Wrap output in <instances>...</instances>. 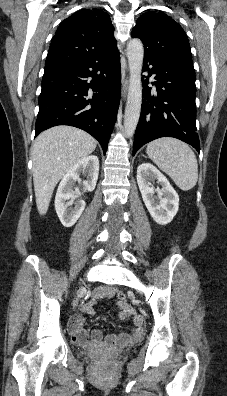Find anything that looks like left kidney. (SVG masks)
Listing matches in <instances>:
<instances>
[{
    "label": "left kidney",
    "mask_w": 227,
    "mask_h": 396,
    "mask_svg": "<svg viewBox=\"0 0 227 396\" xmlns=\"http://www.w3.org/2000/svg\"><path fill=\"white\" fill-rule=\"evenodd\" d=\"M153 180H157L162 188L151 186L150 181ZM137 183L154 221L160 225L170 223L178 212L179 196L168 179L152 164L142 163L137 168Z\"/></svg>",
    "instance_id": "obj_1"
}]
</instances>
